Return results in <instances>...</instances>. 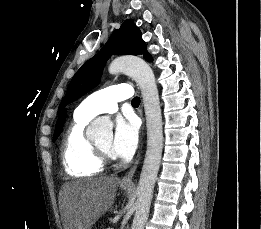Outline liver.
Wrapping results in <instances>:
<instances>
[{"mask_svg": "<svg viewBox=\"0 0 261 229\" xmlns=\"http://www.w3.org/2000/svg\"><path fill=\"white\" fill-rule=\"evenodd\" d=\"M120 185L118 177L78 179L64 187V219L67 229H91L107 213Z\"/></svg>", "mask_w": 261, "mask_h": 229, "instance_id": "6515ba94", "label": "liver"}]
</instances>
